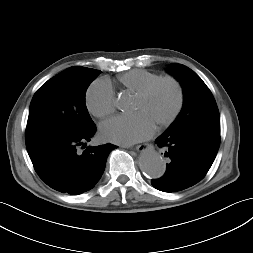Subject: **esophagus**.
<instances>
[{
  "instance_id": "1",
  "label": "esophagus",
  "mask_w": 253,
  "mask_h": 253,
  "mask_svg": "<svg viewBox=\"0 0 253 253\" xmlns=\"http://www.w3.org/2000/svg\"><path fill=\"white\" fill-rule=\"evenodd\" d=\"M148 147H149V144L147 143L139 144L135 147V150H137L138 152H143V151H146Z\"/></svg>"
}]
</instances>
